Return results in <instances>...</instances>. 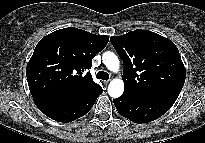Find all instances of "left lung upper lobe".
I'll return each mask as SVG.
<instances>
[{"instance_id": "1", "label": "left lung upper lobe", "mask_w": 205, "mask_h": 143, "mask_svg": "<svg viewBox=\"0 0 205 143\" xmlns=\"http://www.w3.org/2000/svg\"><path fill=\"white\" fill-rule=\"evenodd\" d=\"M124 63V93L143 97L181 91L185 67L175 44L148 30L137 29L110 38Z\"/></svg>"}]
</instances>
